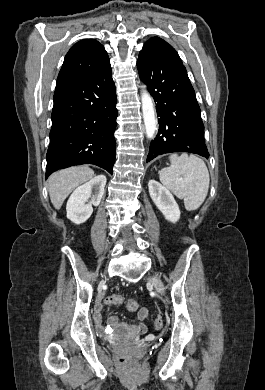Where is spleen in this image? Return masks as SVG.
Wrapping results in <instances>:
<instances>
[{"instance_id": "obj_1", "label": "spleen", "mask_w": 265, "mask_h": 390, "mask_svg": "<svg viewBox=\"0 0 265 390\" xmlns=\"http://www.w3.org/2000/svg\"><path fill=\"white\" fill-rule=\"evenodd\" d=\"M171 166L159 172L160 181L179 199H184L186 210L198 209L204 202L209 189V172L204 161L195 156L173 154Z\"/></svg>"}]
</instances>
